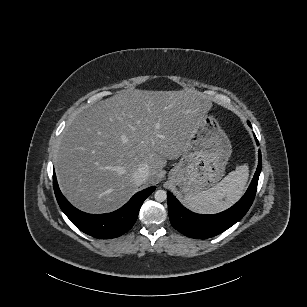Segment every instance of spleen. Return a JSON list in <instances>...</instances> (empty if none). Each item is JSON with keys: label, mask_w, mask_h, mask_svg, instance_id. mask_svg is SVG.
Segmentation results:
<instances>
[{"label": "spleen", "mask_w": 307, "mask_h": 307, "mask_svg": "<svg viewBox=\"0 0 307 307\" xmlns=\"http://www.w3.org/2000/svg\"><path fill=\"white\" fill-rule=\"evenodd\" d=\"M248 177V165L238 166L212 188L198 193H187L184 200L194 212L214 214L224 211L241 198Z\"/></svg>", "instance_id": "1"}]
</instances>
